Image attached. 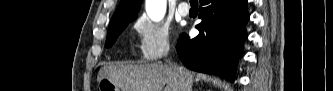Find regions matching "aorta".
<instances>
[{"label":"aorta","mask_w":333,"mask_h":91,"mask_svg":"<svg viewBox=\"0 0 333 91\" xmlns=\"http://www.w3.org/2000/svg\"><path fill=\"white\" fill-rule=\"evenodd\" d=\"M146 11L153 21H160L166 11V0H147Z\"/></svg>","instance_id":"1"}]
</instances>
